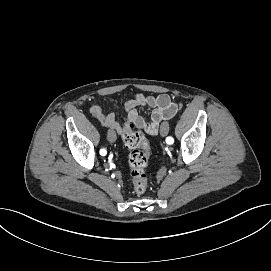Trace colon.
<instances>
[{
	"label": "colon",
	"mask_w": 271,
	"mask_h": 271,
	"mask_svg": "<svg viewBox=\"0 0 271 271\" xmlns=\"http://www.w3.org/2000/svg\"><path fill=\"white\" fill-rule=\"evenodd\" d=\"M124 145L130 149L128 158L130 176L135 193L142 194L148 187L145 168L148 164L151 148L148 139L129 125L122 135Z\"/></svg>",
	"instance_id": "1"
}]
</instances>
